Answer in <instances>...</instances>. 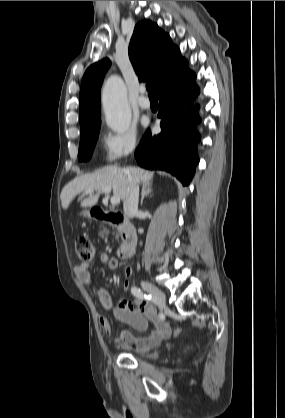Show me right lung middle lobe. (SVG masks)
<instances>
[{"label": "right lung middle lobe", "mask_w": 285, "mask_h": 418, "mask_svg": "<svg viewBox=\"0 0 285 418\" xmlns=\"http://www.w3.org/2000/svg\"><path fill=\"white\" fill-rule=\"evenodd\" d=\"M100 125L101 120L98 119L81 126V139L78 151L79 161H87L90 159L98 138Z\"/></svg>", "instance_id": "right-lung-middle-lobe-1"}]
</instances>
